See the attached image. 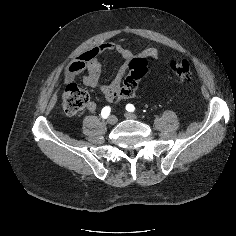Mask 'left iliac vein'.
Wrapping results in <instances>:
<instances>
[{
    "mask_svg": "<svg viewBox=\"0 0 236 236\" xmlns=\"http://www.w3.org/2000/svg\"><path fill=\"white\" fill-rule=\"evenodd\" d=\"M125 117H126L127 119H133V120L137 118L135 114L130 113V112H126V113H125Z\"/></svg>",
    "mask_w": 236,
    "mask_h": 236,
    "instance_id": "left-iliac-vein-1",
    "label": "left iliac vein"
}]
</instances>
